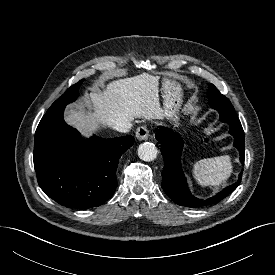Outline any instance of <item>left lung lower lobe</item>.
Returning a JSON list of instances; mask_svg holds the SVG:
<instances>
[{"mask_svg":"<svg viewBox=\"0 0 275 275\" xmlns=\"http://www.w3.org/2000/svg\"><path fill=\"white\" fill-rule=\"evenodd\" d=\"M229 133L234 137V147L240 152V161L244 163V131L240 122H227ZM156 139L161 144V152L164 158L162 171V188L175 203L181 206L197 208L218 203L229 196L241 182L242 174L238 181L226 187L215 196L206 200L197 199L188 189L186 179L181 168V154L183 140L180 135L166 127H159Z\"/></svg>","mask_w":275,"mask_h":275,"instance_id":"0a47b994","label":"left lung lower lobe"}]
</instances>
